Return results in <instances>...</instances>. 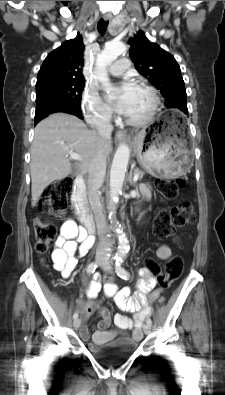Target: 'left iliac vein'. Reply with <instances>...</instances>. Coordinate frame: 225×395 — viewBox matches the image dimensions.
I'll use <instances>...</instances> for the list:
<instances>
[{
    "label": "left iliac vein",
    "mask_w": 225,
    "mask_h": 395,
    "mask_svg": "<svg viewBox=\"0 0 225 395\" xmlns=\"http://www.w3.org/2000/svg\"><path fill=\"white\" fill-rule=\"evenodd\" d=\"M101 268H102L104 271L108 272V273H112V272H113L112 267H111V265L107 262V260H104V262H103L102 265H101ZM143 331H144L145 334H150V332H151V325L145 324V325L143 326Z\"/></svg>",
    "instance_id": "left-iliac-vein-1"
}]
</instances>
